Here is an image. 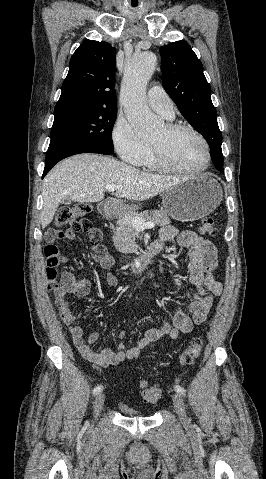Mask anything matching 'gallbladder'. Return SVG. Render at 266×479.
<instances>
[{"label": "gallbladder", "mask_w": 266, "mask_h": 479, "mask_svg": "<svg viewBox=\"0 0 266 479\" xmlns=\"http://www.w3.org/2000/svg\"><path fill=\"white\" fill-rule=\"evenodd\" d=\"M61 203H63V204H70V203H71V199L66 198V199L62 200Z\"/></svg>", "instance_id": "obj_1"}]
</instances>
